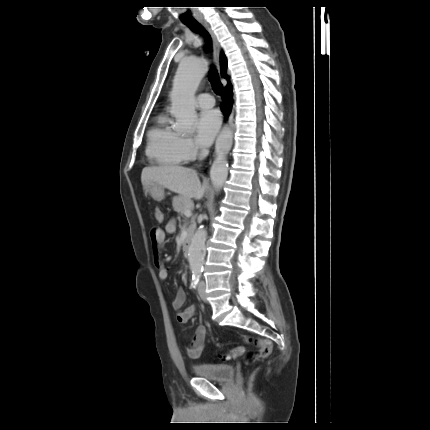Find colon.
Returning a JSON list of instances; mask_svg holds the SVG:
<instances>
[{"label": "colon", "mask_w": 430, "mask_h": 430, "mask_svg": "<svg viewBox=\"0 0 430 430\" xmlns=\"http://www.w3.org/2000/svg\"><path fill=\"white\" fill-rule=\"evenodd\" d=\"M153 214L158 222H161L163 220V212L160 208H155ZM245 342L252 343L255 346V349L251 350L247 355V358L250 362L265 359L270 354L272 349L271 341L265 338L246 337ZM243 353L244 349L240 346H237L228 353L219 355V357L223 360H230L232 358H237L241 356Z\"/></svg>", "instance_id": "colon-1"}]
</instances>
